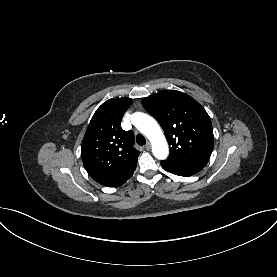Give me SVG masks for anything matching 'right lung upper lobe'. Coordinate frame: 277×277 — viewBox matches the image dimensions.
Returning <instances> with one entry per match:
<instances>
[{"instance_id":"right-lung-upper-lobe-1","label":"right lung upper lobe","mask_w":277,"mask_h":277,"mask_svg":"<svg viewBox=\"0 0 277 277\" xmlns=\"http://www.w3.org/2000/svg\"><path fill=\"white\" fill-rule=\"evenodd\" d=\"M130 98L109 99L94 113L82 141L81 157L88 174L107 187L124 184L137 166L134 134L121 127Z\"/></svg>"}]
</instances>
